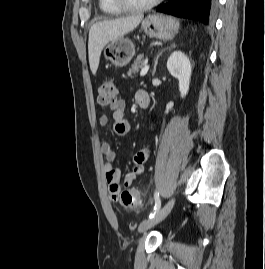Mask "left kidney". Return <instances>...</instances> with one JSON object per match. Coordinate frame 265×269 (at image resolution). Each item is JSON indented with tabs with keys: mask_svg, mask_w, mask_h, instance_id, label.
I'll return each mask as SVG.
<instances>
[{
	"mask_svg": "<svg viewBox=\"0 0 265 269\" xmlns=\"http://www.w3.org/2000/svg\"><path fill=\"white\" fill-rule=\"evenodd\" d=\"M167 69L179 81V91L184 98L188 91L191 79L192 66L188 57L181 51H174L167 60Z\"/></svg>",
	"mask_w": 265,
	"mask_h": 269,
	"instance_id": "left-kidney-1",
	"label": "left kidney"
}]
</instances>
